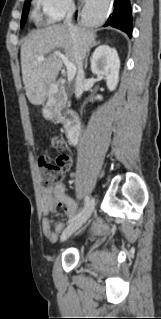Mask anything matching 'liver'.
Returning <instances> with one entry per match:
<instances>
[{
	"label": "liver",
	"mask_w": 161,
	"mask_h": 319,
	"mask_svg": "<svg viewBox=\"0 0 161 319\" xmlns=\"http://www.w3.org/2000/svg\"><path fill=\"white\" fill-rule=\"evenodd\" d=\"M78 33V48H74L71 33L65 24H57L34 32L21 46V67L26 96L33 105L46 100L48 91L55 83L63 63L55 55L63 49L67 58L77 64L78 54L89 51L96 34L85 28L75 27ZM56 50L53 54L52 52ZM49 54L44 61L39 56Z\"/></svg>",
	"instance_id": "1"
}]
</instances>
